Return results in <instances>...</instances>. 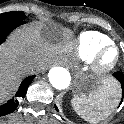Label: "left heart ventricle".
Returning a JSON list of instances; mask_svg holds the SVG:
<instances>
[{"instance_id":"left-heart-ventricle-1","label":"left heart ventricle","mask_w":124,"mask_h":124,"mask_svg":"<svg viewBox=\"0 0 124 124\" xmlns=\"http://www.w3.org/2000/svg\"><path fill=\"white\" fill-rule=\"evenodd\" d=\"M115 58H116V51L110 50L104 57V63L110 64L114 61Z\"/></svg>"}]
</instances>
